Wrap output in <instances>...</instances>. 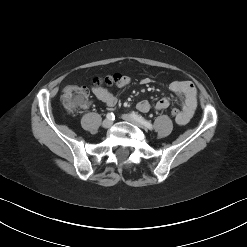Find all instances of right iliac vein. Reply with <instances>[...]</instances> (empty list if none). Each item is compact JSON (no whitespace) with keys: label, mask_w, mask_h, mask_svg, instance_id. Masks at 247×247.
Segmentation results:
<instances>
[{"label":"right iliac vein","mask_w":247,"mask_h":247,"mask_svg":"<svg viewBox=\"0 0 247 247\" xmlns=\"http://www.w3.org/2000/svg\"><path fill=\"white\" fill-rule=\"evenodd\" d=\"M113 122L112 120H109V119H105L102 123V126L104 128H110L112 126Z\"/></svg>","instance_id":"right-iliac-vein-1"}]
</instances>
